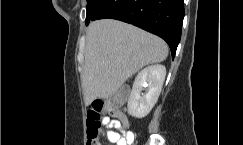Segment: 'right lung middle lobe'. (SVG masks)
<instances>
[{
  "instance_id": "dd1d6c3e",
  "label": "right lung middle lobe",
  "mask_w": 243,
  "mask_h": 145,
  "mask_svg": "<svg viewBox=\"0 0 243 145\" xmlns=\"http://www.w3.org/2000/svg\"><path fill=\"white\" fill-rule=\"evenodd\" d=\"M87 1H88L87 6H89L93 2V0H87Z\"/></svg>"
}]
</instances>
